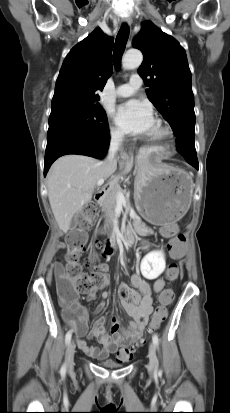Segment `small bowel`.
Masks as SVG:
<instances>
[{"mask_svg": "<svg viewBox=\"0 0 230 413\" xmlns=\"http://www.w3.org/2000/svg\"><path fill=\"white\" fill-rule=\"evenodd\" d=\"M162 228V232L166 237H171L177 232L176 222H163ZM99 268L103 274V283L89 290L88 300H94L98 291L105 289L110 284L107 265L101 264ZM164 281V279L158 278L151 285L141 275L134 274L131 277L132 287L126 284L120 285L118 291L120 303L126 314L132 318V321L128 328H123L117 317L114 316L112 318L111 334L105 329L106 318L104 316H99L95 320L92 329L88 332L89 312L85 306L75 301L71 308L63 312V316L67 325L75 333L78 347L94 359L103 360L109 355L116 353L120 361H127L124 349L130 343L136 342L141 338L143 330L153 312L152 294L161 293L164 290ZM103 298L104 300L97 306V312L102 311L106 306L107 293L103 294ZM85 335L89 339H97L101 347L97 348L88 345L83 338Z\"/></svg>", "mask_w": 230, "mask_h": 413, "instance_id": "small-bowel-1", "label": "small bowel"}]
</instances>
